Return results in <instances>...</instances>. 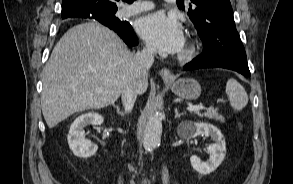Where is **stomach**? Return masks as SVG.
Listing matches in <instances>:
<instances>
[{
    "instance_id": "stomach-1",
    "label": "stomach",
    "mask_w": 293,
    "mask_h": 184,
    "mask_svg": "<svg viewBox=\"0 0 293 184\" xmlns=\"http://www.w3.org/2000/svg\"><path fill=\"white\" fill-rule=\"evenodd\" d=\"M170 85L172 92L187 100L197 99L201 94L200 84L191 78H181L176 81H165Z\"/></svg>"
}]
</instances>
